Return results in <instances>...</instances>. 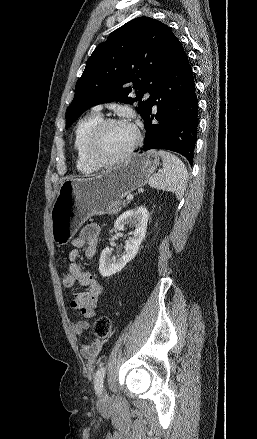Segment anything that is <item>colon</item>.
I'll list each match as a JSON object with an SVG mask.
<instances>
[{
	"label": "colon",
	"mask_w": 257,
	"mask_h": 439,
	"mask_svg": "<svg viewBox=\"0 0 257 439\" xmlns=\"http://www.w3.org/2000/svg\"><path fill=\"white\" fill-rule=\"evenodd\" d=\"M74 278L66 272L62 277V284L65 287H72L74 285ZM93 333L97 338H107L111 333V321L106 316L98 317L93 323Z\"/></svg>",
	"instance_id": "colon-1"
}]
</instances>
